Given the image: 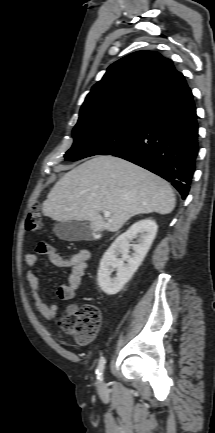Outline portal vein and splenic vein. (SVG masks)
<instances>
[{
    "instance_id": "18ae733b",
    "label": "portal vein and splenic vein",
    "mask_w": 215,
    "mask_h": 433,
    "mask_svg": "<svg viewBox=\"0 0 215 433\" xmlns=\"http://www.w3.org/2000/svg\"><path fill=\"white\" fill-rule=\"evenodd\" d=\"M103 214L105 218H109L111 215L109 211H104Z\"/></svg>"
}]
</instances>
